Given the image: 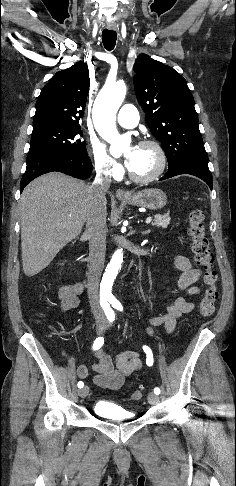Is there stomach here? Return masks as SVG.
Returning a JSON list of instances; mask_svg holds the SVG:
<instances>
[{
  "instance_id": "stomach-1",
  "label": "stomach",
  "mask_w": 236,
  "mask_h": 486,
  "mask_svg": "<svg viewBox=\"0 0 236 486\" xmlns=\"http://www.w3.org/2000/svg\"><path fill=\"white\" fill-rule=\"evenodd\" d=\"M120 200L132 206L144 207L150 210H159L166 205L167 196L160 189L149 188L134 193L129 198Z\"/></svg>"
}]
</instances>
